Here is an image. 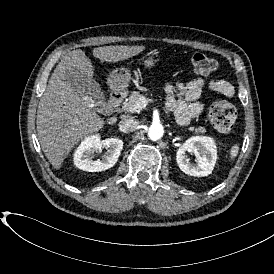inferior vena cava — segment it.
<instances>
[{
  "mask_svg": "<svg viewBox=\"0 0 274 274\" xmlns=\"http://www.w3.org/2000/svg\"><path fill=\"white\" fill-rule=\"evenodd\" d=\"M138 126V122L133 118H127L121 120L118 124V128L123 133H128L134 131Z\"/></svg>",
  "mask_w": 274,
  "mask_h": 274,
  "instance_id": "1",
  "label": "inferior vena cava"
}]
</instances>
